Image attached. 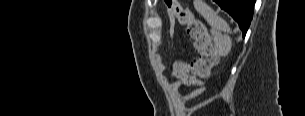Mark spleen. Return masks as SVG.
Masks as SVG:
<instances>
[{"instance_id": "3e777b00", "label": "spleen", "mask_w": 305, "mask_h": 116, "mask_svg": "<svg viewBox=\"0 0 305 116\" xmlns=\"http://www.w3.org/2000/svg\"><path fill=\"white\" fill-rule=\"evenodd\" d=\"M196 10L205 18L207 23L212 27L213 30L230 32V27L227 22L219 17L213 9L203 2L195 3ZM230 45L228 44V48Z\"/></svg>"}]
</instances>
